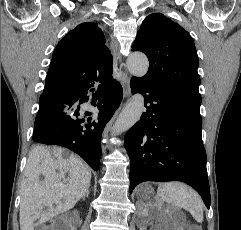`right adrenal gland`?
Segmentation results:
<instances>
[{
    "label": "right adrenal gland",
    "mask_w": 241,
    "mask_h": 230,
    "mask_svg": "<svg viewBox=\"0 0 241 230\" xmlns=\"http://www.w3.org/2000/svg\"><path fill=\"white\" fill-rule=\"evenodd\" d=\"M89 190L87 191V193H86V195L83 197V199L85 198V197H88V195H89Z\"/></svg>",
    "instance_id": "obj_1"
}]
</instances>
